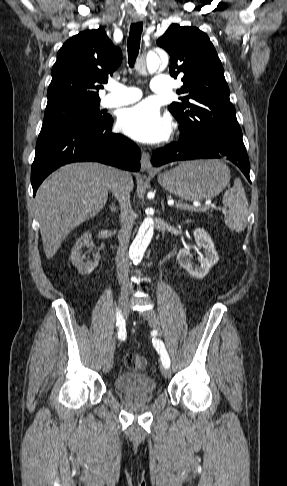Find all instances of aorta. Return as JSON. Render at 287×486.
Here are the masks:
<instances>
[{
    "mask_svg": "<svg viewBox=\"0 0 287 486\" xmlns=\"http://www.w3.org/2000/svg\"><path fill=\"white\" fill-rule=\"evenodd\" d=\"M167 62L168 58L166 56L159 57L155 53H150L146 59L147 69L150 72L157 70L161 66H166ZM153 234V221L150 218H145L129 248V257L133 262L137 263L142 259Z\"/></svg>",
    "mask_w": 287,
    "mask_h": 486,
    "instance_id": "762f6f07",
    "label": "aorta"
}]
</instances>
